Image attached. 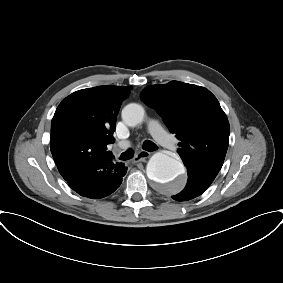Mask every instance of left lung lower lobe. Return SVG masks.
<instances>
[{
	"label": "left lung lower lobe",
	"instance_id": "1",
	"mask_svg": "<svg viewBox=\"0 0 283 283\" xmlns=\"http://www.w3.org/2000/svg\"><path fill=\"white\" fill-rule=\"evenodd\" d=\"M214 178L188 170V182L185 189L173 196L177 201H186L201 195L213 182Z\"/></svg>",
	"mask_w": 283,
	"mask_h": 283
}]
</instances>
